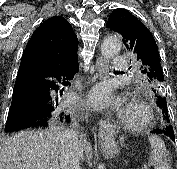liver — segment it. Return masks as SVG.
<instances>
[{
	"label": "liver",
	"mask_w": 177,
	"mask_h": 169,
	"mask_svg": "<svg viewBox=\"0 0 177 169\" xmlns=\"http://www.w3.org/2000/svg\"><path fill=\"white\" fill-rule=\"evenodd\" d=\"M62 130L24 131L9 137L0 149V169H59V142ZM90 149L86 141L79 142V158Z\"/></svg>",
	"instance_id": "6515ba94"
}]
</instances>
